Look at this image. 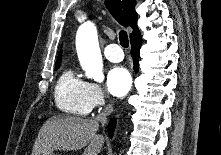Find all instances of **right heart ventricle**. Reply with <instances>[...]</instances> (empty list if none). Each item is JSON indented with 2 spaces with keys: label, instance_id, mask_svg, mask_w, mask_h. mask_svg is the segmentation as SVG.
<instances>
[{
  "label": "right heart ventricle",
  "instance_id": "e07e8e85",
  "mask_svg": "<svg viewBox=\"0 0 221 155\" xmlns=\"http://www.w3.org/2000/svg\"><path fill=\"white\" fill-rule=\"evenodd\" d=\"M54 98L58 109L67 114L85 116L92 109L88 98V82L71 68L65 69L60 75Z\"/></svg>",
  "mask_w": 221,
  "mask_h": 155
}]
</instances>
